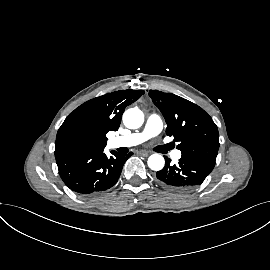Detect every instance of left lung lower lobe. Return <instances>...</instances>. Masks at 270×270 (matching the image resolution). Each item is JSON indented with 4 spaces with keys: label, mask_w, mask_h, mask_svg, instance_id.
Listing matches in <instances>:
<instances>
[{
    "label": "left lung lower lobe",
    "mask_w": 270,
    "mask_h": 270,
    "mask_svg": "<svg viewBox=\"0 0 270 270\" xmlns=\"http://www.w3.org/2000/svg\"><path fill=\"white\" fill-rule=\"evenodd\" d=\"M164 168L156 173L159 181L174 191H188L200 185L213 170L212 167L189 157H181L177 165H170L165 157Z\"/></svg>",
    "instance_id": "1"
}]
</instances>
